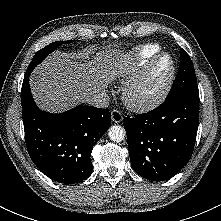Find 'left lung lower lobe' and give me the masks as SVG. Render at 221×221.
Wrapping results in <instances>:
<instances>
[{
  "label": "left lung lower lobe",
  "instance_id": "obj_1",
  "mask_svg": "<svg viewBox=\"0 0 221 221\" xmlns=\"http://www.w3.org/2000/svg\"><path fill=\"white\" fill-rule=\"evenodd\" d=\"M198 93L166 98L156 109L124 118L133 169L162 181L177 174L193 153L198 129Z\"/></svg>",
  "mask_w": 221,
  "mask_h": 221
}]
</instances>
